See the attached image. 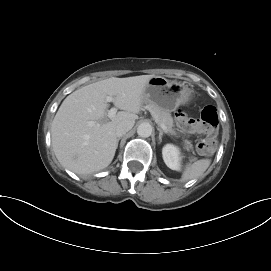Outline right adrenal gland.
<instances>
[{
	"instance_id": "obj_1",
	"label": "right adrenal gland",
	"mask_w": 271,
	"mask_h": 271,
	"mask_svg": "<svg viewBox=\"0 0 271 271\" xmlns=\"http://www.w3.org/2000/svg\"><path fill=\"white\" fill-rule=\"evenodd\" d=\"M120 139H121L120 137L117 139V144H118V142H119Z\"/></svg>"
}]
</instances>
